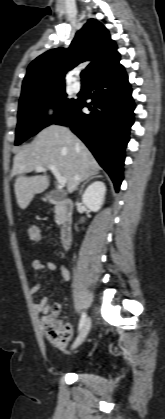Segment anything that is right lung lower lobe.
<instances>
[{"label":"right lung lower lobe","mask_w":165,"mask_h":419,"mask_svg":"<svg viewBox=\"0 0 165 419\" xmlns=\"http://www.w3.org/2000/svg\"><path fill=\"white\" fill-rule=\"evenodd\" d=\"M89 90L92 91L90 103L78 99L73 110L52 123L71 128L109 174L118 191L135 108L124 68L119 65L89 82ZM83 107H88L90 113H83Z\"/></svg>","instance_id":"98d812e1"}]
</instances>
